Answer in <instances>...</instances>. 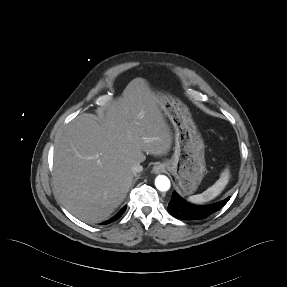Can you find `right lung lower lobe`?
<instances>
[{
  "label": "right lung lower lobe",
  "instance_id": "right-lung-lower-lobe-1",
  "mask_svg": "<svg viewBox=\"0 0 287 287\" xmlns=\"http://www.w3.org/2000/svg\"><path fill=\"white\" fill-rule=\"evenodd\" d=\"M127 206H124L114 217H112L111 219L103 222V224H109V223H112L116 220H118L122 215L123 213L125 212Z\"/></svg>",
  "mask_w": 287,
  "mask_h": 287
}]
</instances>
